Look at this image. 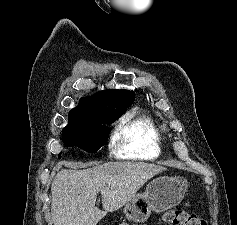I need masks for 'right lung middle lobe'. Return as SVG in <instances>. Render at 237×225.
<instances>
[{
    "label": "right lung middle lobe",
    "mask_w": 237,
    "mask_h": 225,
    "mask_svg": "<svg viewBox=\"0 0 237 225\" xmlns=\"http://www.w3.org/2000/svg\"><path fill=\"white\" fill-rule=\"evenodd\" d=\"M121 115L108 111H97L87 123H70L63 129L65 146H77L86 152H97L108 140L106 124L116 121ZM61 157V153L58 155Z\"/></svg>",
    "instance_id": "1"
}]
</instances>
